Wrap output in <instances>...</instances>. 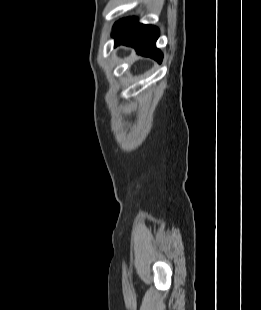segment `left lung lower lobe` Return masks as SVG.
Instances as JSON below:
<instances>
[{
  "label": "left lung lower lobe",
  "mask_w": 261,
  "mask_h": 310,
  "mask_svg": "<svg viewBox=\"0 0 261 310\" xmlns=\"http://www.w3.org/2000/svg\"><path fill=\"white\" fill-rule=\"evenodd\" d=\"M112 36L115 45L132 46L138 54L161 62L163 55L155 46L159 37V30L155 26L140 24L136 18H125L114 25Z\"/></svg>",
  "instance_id": "left-lung-lower-lobe-1"
}]
</instances>
